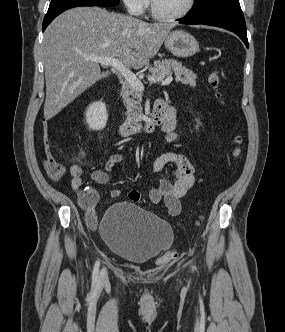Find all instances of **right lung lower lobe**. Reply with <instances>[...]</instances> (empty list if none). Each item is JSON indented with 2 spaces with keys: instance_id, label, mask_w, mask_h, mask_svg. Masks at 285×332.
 Listing matches in <instances>:
<instances>
[{
  "instance_id": "98d812e1",
  "label": "right lung lower lobe",
  "mask_w": 285,
  "mask_h": 332,
  "mask_svg": "<svg viewBox=\"0 0 285 332\" xmlns=\"http://www.w3.org/2000/svg\"><path fill=\"white\" fill-rule=\"evenodd\" d=\"M77 6H100V5L92 3H66V4L49 6L47 14L45 15L43 20L42 31H44L46 27L52 22V20L56 18L60 13L64 12L67 9Z\"/></svg>"
}]
</instances>
